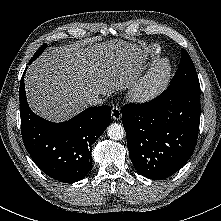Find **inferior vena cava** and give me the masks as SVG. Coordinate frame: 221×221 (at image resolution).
Masks as SVG:
<instances>
[{
	"instance_id": "1",
	"label": "inferior vena cava",
	"mask_w": 221,
	"mask_h": 221,
	"mask_svg": "<svg viewBox=\"0 0 221 221\" xmlns=\"http://www.w3.org/2000/svg\"><path fill=\"white\" fill-rule=\"evenodd\" d=\"M105 99L100 98L98 95L90 96L87 98L86 102L90 106H97L103 104Z\"/></svg>"
}]
</instances>
